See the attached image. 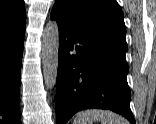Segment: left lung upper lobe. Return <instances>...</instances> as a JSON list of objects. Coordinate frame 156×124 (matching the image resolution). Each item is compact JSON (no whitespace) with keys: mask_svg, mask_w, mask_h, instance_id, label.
Wrapping results in <instances>:
<instances>
[{"mask_svg":"<svg viewBox=\"0 0 156 124\" xmlns=\"http://www.w3.org/2000/svg\"><path fill=\"white\" fill-rule=\"evenodd\" d=\"M52 11L77 28L127 48L124 16L116 0H56Z\"/></svg>","mask_w":156,"mask_h":124,"instance_id":"1","label":"left lung upper lobe"}]
</instances>
